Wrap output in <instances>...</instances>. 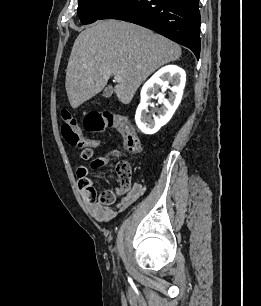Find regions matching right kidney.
<instances>
[{
	"mask_svg": "<svg viewBox=\"0 0 261 306\" xmlns=\"http://www.w3.org/2000/svg\"><path fill=\"white\" fill-rule=\"evenodd\" d=\"M186 82L185 71L176 65H167L157 71L142 87L141 102L136 110L135 121L138 128L144 134H154L164 126L173 116L175 110L181 102L183 90ZM171 83V87L169 86ZM170 88L169 98L165 94H158V102L163 107L153 119L145 116L151 98H154V92Z\"/></svg>",
	"mask_w": 261,
	"mask_h": 306,
	"instance_id": "right-kidney-1",
	"label": "right kidney"
}]
</instances>
